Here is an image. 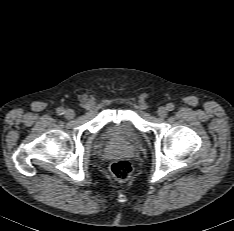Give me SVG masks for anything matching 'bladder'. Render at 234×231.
I'll return each instance as SVG.
<instances>
[{
  "label": "bladder",
  "mask_w": 234,
  "mask_h": 231,
  "mask_svg": "<svg viewBox=\"0 0 234 231\" xmlns=\"http://www.w3.org/2000/svg\"><path fill=\"white\" fill-rule=\"evenodd\" d=\"M116 137L133 143L139 141V137L136 134L134 127L127 122H121L120 124L115 125L105 141L106 143H111Z\"/></svg>",
  "instance_id": "1"
}]
</instances>
